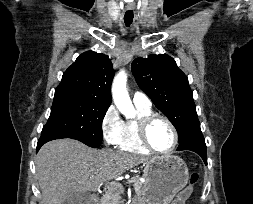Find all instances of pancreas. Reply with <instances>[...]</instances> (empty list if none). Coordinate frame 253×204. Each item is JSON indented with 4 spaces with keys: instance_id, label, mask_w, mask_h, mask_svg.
<instances>
[{
    "instance_id": "obj_1",
    "label": "pancreas",
    "mask_w": 253,
    "mask_h": 204,
    "mask_svg": "<svg viewBox=\"0 0 253 204\" xmlns=\"http://www.w3.org/2000/svg\"><path fill=\"white\" fill-rule=\"evenodd\" d=\"M135 192L140 194L143 190V183L139 177L136 176V180L133 184ZM123 193V187L121 184L114 183L109 186L108 191L100 200V204H120V195Z\"/></svg>"
}]
</instances>
